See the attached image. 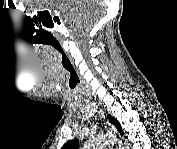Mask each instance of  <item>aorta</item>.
Masks as SVG:
<instances>
[{"instance_id": "aorta-1", "label": "aorta", "mask_w": 177, "mask_h": 149, "mask_svg": "<svg viewBox=\"0 0 177 149\" xmlns=\"http://www.w3.org/2000/svg\"><path fill=\"white\" fill-rule=\"evenodd\" d=\"M108 141L109 139L106 136H100L85 144L84 149H103Z\"/></svg>"}]
</instances>
